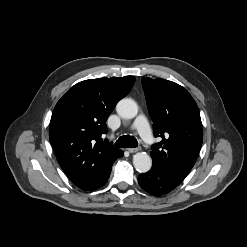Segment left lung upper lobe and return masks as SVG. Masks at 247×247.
Masks as SVG:
<instances>
[{"label":"left lung upper lobe","mask_w":247,"mask_h":247,"mask_svg":"<svg viewBox=\"0 0 247 247\" xmlns=\"http://www.w3.org/2000/svg\"><path fill=\"white\" fill-rule=\"evenodd\" d=\"M142 86L154 134L162 138L152 146L153 165L183 180L194 166L203 141L197 104L185 88L172 81L144 77Z\"/></svg>","instance_id":"obj_1"}]
</instances>
